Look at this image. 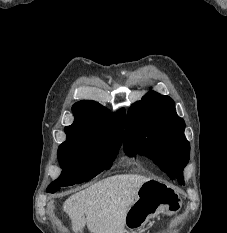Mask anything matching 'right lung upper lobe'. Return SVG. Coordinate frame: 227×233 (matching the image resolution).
Listing matches in <instances>:
<instances>
[{
    "instance_id": "cb5924a9",
    "label": "right lung upper lobe",
    "mask_w": 227,
    "mask_h": 233,
    "mask_svg": "<svg viewBox=\"0 0 227 233\" xmlns=\"http://www.w3.org/2000/svg\"><path fill=\"white\" fill-rule=\"evenodd\" d=\"M75 120L65 128L68 139L100 141L117 137L123 139L125 109L111 113L101 104L92 100H82L72 107Z\"/></svg>"
}]
</instances>
